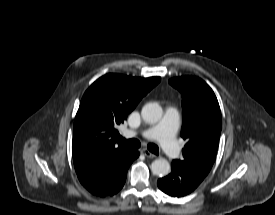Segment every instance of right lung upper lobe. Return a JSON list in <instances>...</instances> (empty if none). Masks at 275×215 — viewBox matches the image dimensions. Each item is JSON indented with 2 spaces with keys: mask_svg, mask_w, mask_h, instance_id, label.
<instances>
[{
  "mask_svg": "<svg viewBox=\"0 0 275 215\" xmlns=\"http://www.w3.org/2000/svg\"><path fill=\"white\" fill-rule=\"evenodd\" d=\"M161 80L106 74L85 92L77 111L73 132L76 172L101 156L129 150L117 142L116 126L123 123L139 101Z\"/></svg>",
  "mask_w": 275,
  "mask_h": 215,
  "instance_id": "cb5924a9",
  "label": "right lung upper lobe"
}]
</instances>
